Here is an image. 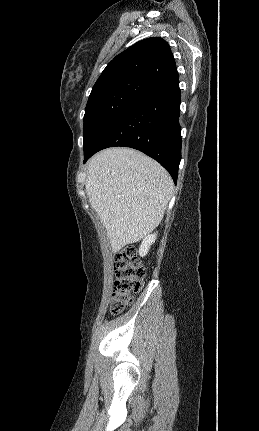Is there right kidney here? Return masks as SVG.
Segmentation results:
<instances>
[{"label":"right kidney","instance_id":"ca27d5eb","mask_svg":"<svg viewBox=\"0 0 259 431\" xmlns=\"http://www.w3.org/2000/svg\"><path fill=\"white\" fill-rule=\"evenodd\" d=\"M156 235L157 234L154 233V234L146 236L143 239L142 244H141V246L139 248V254H140V256L143 257V256H145L148 253V250H149L150 246L152 245V243L155 242Z\"/></svg>","mask_w":259,"mask_h":431}]
</instances>
